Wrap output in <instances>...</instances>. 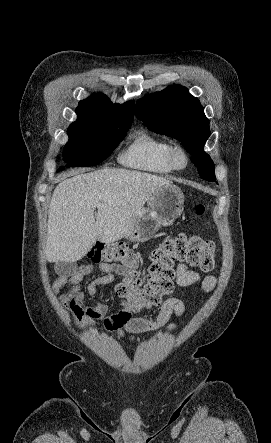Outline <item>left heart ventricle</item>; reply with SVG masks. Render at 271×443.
I'll return each instance as SVG.
<instances>
[{"label":"left heart ventricle","mask_w":271,"mask_h":443,"mask_svg":"<svg viewBox=\"0 0 271 443\" xmlns=\"http://www.w3.org/2000/svg\"><path fill=\"white\" fill-rule=\"evenodd\" d=\"M177 159H178V162H179L181 165H184L185 162H186L184 156H183L181 153L178 154Z\"/></svg>","instance_id":"b2bd125f"}]
</instances>
